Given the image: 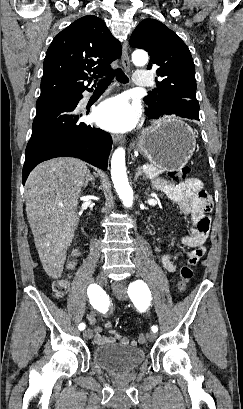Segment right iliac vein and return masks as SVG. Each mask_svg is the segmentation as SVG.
Returning a JSON list of instances; mask_svg holds the SVG:
<instances>
[{
    "instance_id": "63e3f726",
    "label": "right iliac vein",
    "mask_w": 243,
    "mask_h": 409,
    "mask_svg": "<svg viewBox=\"0 0 243 409\" xmlns=\"http://www.w3.org/2000/svg\"><path fill=\"white\" fill-rule=\"evenodd\" d=\"M106 282H107V277H106L104 274L100 273V274L97 275V277H96V283H97L98 285L103 286V285L106 284ZM92 336H93V332H92L91 329H86V330L83 332V337H84L85 339H91Z\"/></svg>"
}]
</instances>
